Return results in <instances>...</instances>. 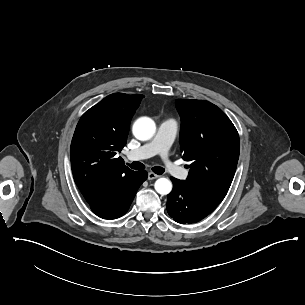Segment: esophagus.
Returning a JSON list of instances; mask_svg holds the SVG:
<instances>
[{"instance_id":"34e87169","label":"esophagus","mask_w":305,"mask_h":305,"mask_svg":"<svg viewBox=\"0 0 305 305\" xmlns=\"http://www.w3.org/2000/svg\"><path fill=\"white\" fill-rule=\"evenodd\" d=\"M158 177H160L159 175L153 173V172H150L148 174V180H153V179H157Z\"/></svg>"}]
</instances>
